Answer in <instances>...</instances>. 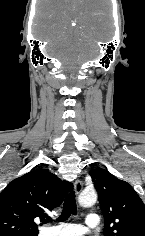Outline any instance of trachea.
Here are the masks:
<instances>
[{"instance_id":"trachea-1","label":"trachea","mask_w":145,"mask_h":236,"mask_svg":"<svg viewBox=\"0 0 145 236\" xmlns=\"http://www.w3.org/2000/svg\"><path fill=\"white\" fill-rule=\"evenodd\" d=\"M76 213H77V207L75 201V193L70 192L64 200L63 211L61 216L59 217V221H65L71 214H76Z\"/></svg>"}]
</instances>
